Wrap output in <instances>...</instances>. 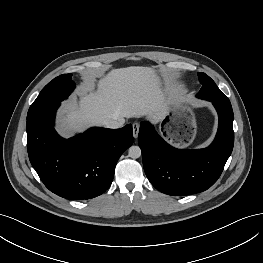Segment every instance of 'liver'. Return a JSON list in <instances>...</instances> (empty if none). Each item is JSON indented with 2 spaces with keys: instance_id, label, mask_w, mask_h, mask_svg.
Segmentation results:
<instances>
[{
  "instance_id": "1",
  "label": "liver",
  "mask_w": 263,
  "mask_h": 263,
  "mask_svg": "<svg viewBox=\"0 0 263 263\" xmlns=\"http://www.w3.org/2000/svg\"><path fill=\"white\" fill-rule=\"evenodd\" d=\"M162 90L159 77L148 67L130 66L111 70L96 80L87 77L78 103H67L61 113L60 132L68 136L105 120L143 117L158 121L170 111L171 101Z\"/></svg>"
}]
</instances>
